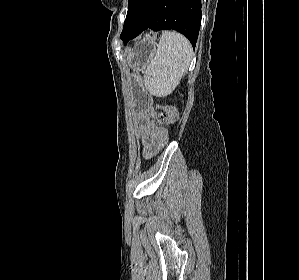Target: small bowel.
<instances>
[{
	"label": "small bowel",
	"mask_w": 299,
	"mask_h": 280,
	"mask_svg": "<svg viewBox=\"0 0 299 280\" xmlns=\"http://www.w3.org/2000/svg\"><path fill=\"white\" fill-rule=\"evenodd\" d=\"M139 132L145 158H151L157 154L167 139L166 129L152 121L140 124Z\"/></svg>",
	"instance_id": "obj_1"
}]
</instances>
